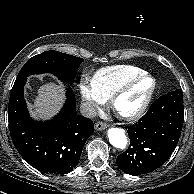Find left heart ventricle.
Here are the masks:
<instances>
[{"label": "left heart ventricle", "instance_id": "obj_1", "mask_svg": "<svg viewBox=\"0 0 194 194\" xmlns=\"http://www.w3.org/2000/svg\"><path fill=\"white\" fill-rule=\"evenodd\" d=\"M151 87L152 81L150 79H144L136 84L118 99L116 103L117 110L124 114L136 111L142 104Z\"/></svg>", "mask_w": 194, "mask_h": 194}]
</instances>
